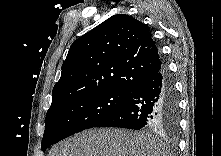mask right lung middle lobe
Masks as SVG:
<instances>
[{
  "instance_id": "right-lung-middle-lobe-1",
  "label": "right lung middle lobe",
  "mask_w": 221,
  "mask_h": 156,
  "mask_svg": "<svg viewBox=\"0 0 221 156\" xmlns=\"http://www.w3.org/2000/svg\"><path fill=\"white\" fill-rule=\"evenodd\" d=\"M129 93L100 91L75 96L49 108L41 148L75 133L95 127L123 105Z\"/></svg>"
}]
</instances>
